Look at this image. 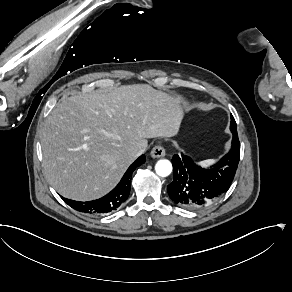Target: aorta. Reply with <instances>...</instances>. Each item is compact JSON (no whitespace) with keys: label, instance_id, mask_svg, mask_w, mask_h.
I'll use <instances>...</instances> for the list:
<instances>
[{"label":"aorta","instance_id":"obj_1","mask_svg":"<svg viewBox=\"0 0 292 292\" xmlns=\"http://www.w3.org/2000/svg\"><path fill=\"white\" fill-rule=\"evenodd\" d=\"M158 176L167 177L172 172V165L168 160H159L155 166Z\"/></svg>","mask_w":292,"mask_h":292}]
</instances>
